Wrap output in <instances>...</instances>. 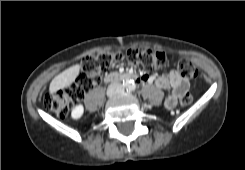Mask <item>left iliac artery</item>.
Returning a JSON list of instances; mask_svg holds the SVG:
<instances>
[{"label":"left iliac artery","instance_id":"1","mask_svg":"<svg viewBox=\"0 0 245 170\" xmlns=\"http://www.w3.org/2000/svg\"><path fill=\"white\" fill-rule=\"evenodd\" d=\"M134 90H135V84L133 83L132 85H130L129 91L133 92Z\"/></svg>","mask_w":245,"mask_h":170}]
</instances>
